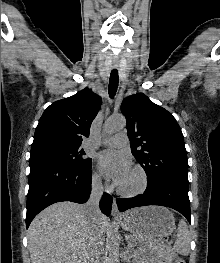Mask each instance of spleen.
<instances>
[{"mask_svg": "<svg viewBox=\"0 0 220 263\" xmlns=\"http://www.w3.org/2000/svg\"><path fill=\"white\" fill-rule=\"evenodd\" d=\"M190 233L184 220H180L177 229V239L174 243V252L181 255H188L190 251Z\"/></svg>", "mask_w": 220, "mask_h": 263, "instance_id": "obj_1", "label": "spleen"}]
</instances>
